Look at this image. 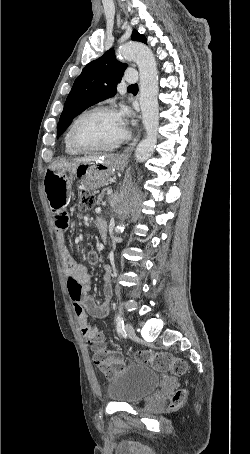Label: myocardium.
Returning a JSON list of instances; mask_svg holds the SVG:
<instances>
[{"label": "myocardium", "instance_id": "1", "mask_svg": "<svg viewBox=\"0 0 250 454\" xmlns=\"http://www.w3.org/2000/svg\"><path fill=\"white\" fill-rule=\"evenodd\" d=\"M101 111H106V112H115L117 113L116 109L112 106H108V105H98V106H95V107H92L86 111H84L83 113H81L76 119L75 121L73 122V124L71 125V128H70V132H69V141H70V144L79 152H83V153H94V152H105V151H110V150H113L117 147H119L120 145H122L130 136V133L128 131V129L125 127V130H124V133L121 137H119L117 140H115L113 143L111 144H108V145H105V146H96V147H86V146H83L81 145L77 140H76V136H75V133H76V129H77V126L79 125V123L84 119L86 118L87 116L93 114V113H96V112H101Z\"/></svg>", "mask_w": 250, "mask_h": 454}]
</instances>
